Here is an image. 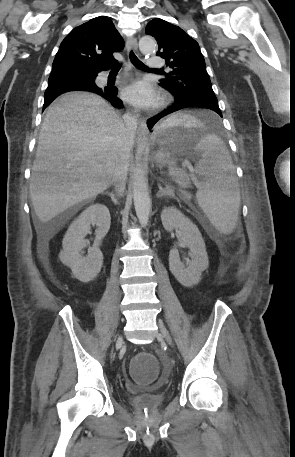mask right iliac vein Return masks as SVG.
I'll return each instance as SVG.
<instances>
[{"label": "right iliac vein", "mask_w": 295, "mask_h": 457, "mask_svg": "<svg viewBox=\"0 0 295 457\" xmlns=\"http://www.w3.org/2000/svg\"><path fill=\"white\" fill-rule=\"evenodd\" d=\"M122 344V336H119L116 341V346H120Z\"/></svg>", "instance_id": "obj_1"}]
</instances>
